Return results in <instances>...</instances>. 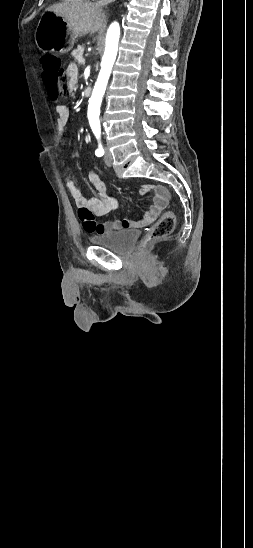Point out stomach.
<instances>
[{
    "label": "stomach",
    "instance_id": "0dacf381",
    "mask_svg": "<svg viewBox=\"0 0 253 548\" xmlns=\"http://www.w3.org/2000/svg\"><path fill=\"white\" fill-rule=\"evenodd\" d=\"M35 43L43 52L62 54L73 48L75 38L62 17L46 11L38 22Z\"/></svg>",
    "mask_w": 253,
    "mask_h": 548
}]
</instances>
